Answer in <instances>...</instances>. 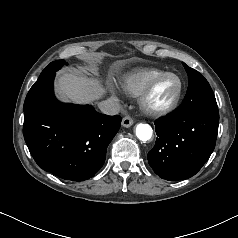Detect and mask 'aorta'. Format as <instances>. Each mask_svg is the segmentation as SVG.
<instances>
[{"instance_id":"762f6f07","label":"aorta","mask_w":238,"mask_h":238,"mask_svg":"<svg viewBox=\"0 0 238 238\" xmlns=\"http://www.w3.org/2000/svg\"><path fill=\"white\" fill-rule=\"evenodd\" d=\"M136 136L140 141L146 142L152 138L153 130L150 125L139 123L136 125Z\"/></svg>"}]
</instances>
